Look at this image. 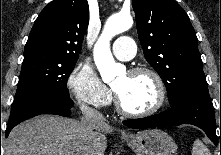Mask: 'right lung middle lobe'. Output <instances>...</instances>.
Here are the masks:
<instances>
[{"instance_id":"1","label":"right lung middle lobe","mask_w":221,"mask_h":155,"mask_svg":"<svg viewBox=\"0 0 221 155\" xmlns=\"http://www.w3.org/2000/svg\"><path fill=\"white\" fill-rule=\"evenodd\" d=\"M76 62L42 55L24 57L12 109L36 92L70 97L66 82Z\"/></svg>"}]
</instances>
